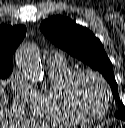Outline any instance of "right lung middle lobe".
Returning a JSON list of instances; mask_svg holds the SVG:
<instances>
[{
  "mask_svg": "<svg viewBox=\"0 0 125 128\" xmlns=\"http://www.w3.org/2000/svg\"><path fill=\"white\" fill-rule=\"evenodd\" d=\"M12 72V65L0 64V78H7Z\"/></svg>",
  "mask_w": 125,
  "mask_h": 128,
  "instance_id": "obj_1",
  "label": "right lung middle lobe"
}]
</instances>
